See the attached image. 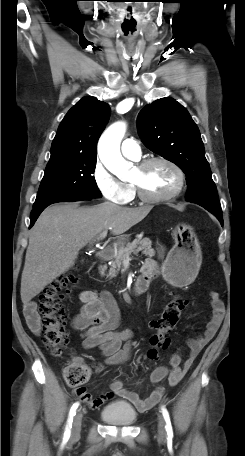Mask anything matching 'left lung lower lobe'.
I'll list each match as a JSON object with an SVG mask.
<instances>
[{"label":"left lung lower lobe","instance_id":"1","mask_svg":"<svg viewBox=\"0 0 245 456\" xmlns=\"http://www.w3.org/2000/svg\"><path fill=\"white\" fill-rule=\"evenodd\" d=\"M213 214L218 218V220L220 221L221 225H223L222 214H217V213H213Z\"/></svg>","mask_w":245,"mask_h":456}]
</instances>
